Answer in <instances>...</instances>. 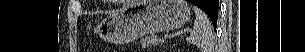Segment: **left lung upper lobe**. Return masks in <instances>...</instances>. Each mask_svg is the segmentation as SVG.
<instances>
[{"label":"left lung upper lobe","mask_w":305,"mask_h":52,"mask_svg":"<svg viewBox=\"0 0 305 52\" xmlns=\"http://www.w3.org/2000/svg\"><path fill=\"white\" fill-rule=\"evenodd\" d=\"M206 13L208 14V16L210 17L212 23H216L217 22V14H218V10H210V9H206Z\"/></svg>","instance_id":"left-lung-upper-lobe-1"}]
</instances>
